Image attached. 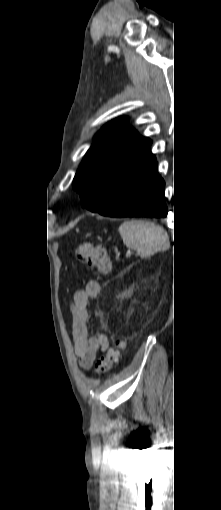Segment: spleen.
I'll list each match as a JSON object with an SVG mask.
<instances>
[{
	"label": "spleen",
	"mask_w": 221,
	"mask_h": 510,
	"mask_svg": "<svg viewBox=\"0 0 221 510\" xmlns=\"http://www.w3.org/2000/svg\"><path fill=\"white\" fill-rule=\"evenodd\" d=\"M123 243L146 258L169 246L168 235L163 228L143 220H128L119 226Z\"/></svg>",
	"instance_id": "obj_1"
}]
</instances>
